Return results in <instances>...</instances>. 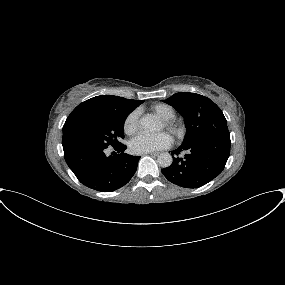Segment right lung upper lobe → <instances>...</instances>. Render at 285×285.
Masks as SVG:
<instances>
[{"mask_svg": "<svg viewBox=\"0 0 285 285\" xmlns=\"http://www.w3.org/2000/svg\"><path fill=\"white\" fill-rule=\"evenodd\" d=\"M142 102L111 95L96 96L82 102L71 112L63 126V149L69 147L71 134L86 122L110 113H130Z\"/></svg>", "mask_w": 285, "mask_h": 285, "instance_id": "1", "label": "right lung upper lobe"}]
</instances>
